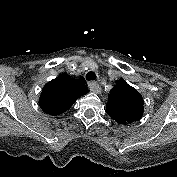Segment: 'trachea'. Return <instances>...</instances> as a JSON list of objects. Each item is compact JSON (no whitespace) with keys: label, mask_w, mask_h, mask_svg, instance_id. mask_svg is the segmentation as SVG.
Returning a JSON list of instances; mask_svg holds the SVG:
<instances>
[{"label":"trachea","mask_w":177,"mask_h":177,"mask_svg":"<svg viewBox=\"0 0 177 177\" xmlns=\"http://www.w3.org/2000/svg\"><path fill=\"white\" fill-rule=\"evenodd\" d=\"M86 79L88 81L96 80V74L94 72L90 71L86 74Z\"/></svg>","instance_id":"1"}]
</instances>
